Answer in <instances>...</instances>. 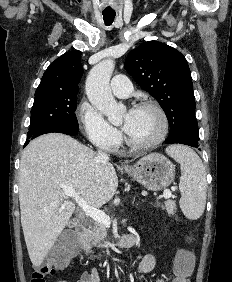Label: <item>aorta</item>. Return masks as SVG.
<instances>
[{
    "label": "aorta",
    "instance_id": "762f6f07",
    "mask_svg": "<svg viewBox=\"0 0 232 282\" xmlns=\"http://www.w3.org/2000/svg\"><path fill=\"white\" fill-rule=\"evenodd\" d=\"M114 67L115 61L112 59H105L96 64L87 76L86 93L92 105L107 116L109 122L117 124L122 119L125 107L116 102L110 89Z\"/></svg>",
    "mask_w": 232,
    "mask_h": 282
}]
</instances>
